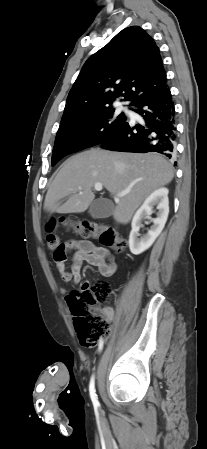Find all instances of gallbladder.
<instances>
[{"mask_svg":"<svg viewBox=\"0 0 207 449\" xmlns=\"http://www.w3.org/2000/svg\"><path fill=\"white\" fill-rule=\"evenodd\" d=\"M113 210L114 205L104 198L94 200L89 207V213L94 218H107L112 215Z\"/></svg>","mask_w":207,"mask_h":449,"instance_id":"1","label":"gallbladder"}]
</instances>
